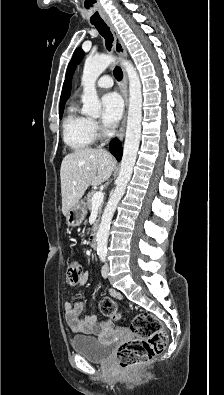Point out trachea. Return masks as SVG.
<instances>
[{"label":"trachea","mask_w":224,"mask_h":395,"mask_svg":"<svg viewBox=\"0 0 224 395\" xmlns=\"http://www.w3.org/2000/svg\"><path fill=\"white\" fill-rule=\"evenodd\" d=\"M98 32L101 34V36L105 39V44L108 50H111L112 47V42H113V35L110 31V28L107 26V24L104 21H99V22H94L92 23ZM114 76L118 81L122 80L123 73L122 70L119 66H116L114 69Z\"/></svg>","instance_id":"trachea-1"}]
</instances>
